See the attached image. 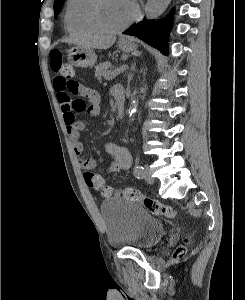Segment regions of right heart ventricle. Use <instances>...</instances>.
I'll list each match as a JSON object with an SVG mask.
<instances>
[{"mask_svg":"<svg viewBox=\"0 0 245 300\" xmlns=\"http://www.w3.org/2000/svg\"><path fill=\"white\" fill-rule=\"evenodd\" d=\"M88 0H68L66 4L64 23L66 29L73 34L96 33L85 21L84 12Z\"/></svg>","mask_w":245,"mask_h":300,"instance_id":"1","label":"right heart ventricle"}]
</instances>
